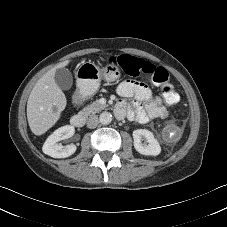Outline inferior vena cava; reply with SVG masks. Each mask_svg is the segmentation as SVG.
<instances>
[{"instance_id": "1", "label": "inferior vena cava", "mask_w": 227, "mask_h": 227, "mask_svg": "<svg viewBox=\"0 0 227 227\" xmlns=\"http://www.w3.org/2000/svg\"><path fill=\"white\" fill-rule=\"evenodd\" d=\"M99 123L98 117L96 115H92L87 119V126L89 128H95Z\"/></svg>"}]
</instances>
